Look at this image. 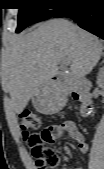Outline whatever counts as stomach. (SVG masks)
Returning a JSON list of instances; mask_svg holds the SVG:
<instances>
[{
	"label": "stomach",
	"instance_id": "1",
	"mask_svg": "<svg viewBox=\"0 0 104 169\" xmlns=\"http://www.w3.org/2000/svg\"><path fill=\"white\" fill-rule=\"evenodd\" d=\"M34 107L42 113H51L58 109L59 101L52 83L42 86L32 98Z\"/></svg>",
	"mask_w": 104,
	"mask_h": 169
}]
</instances>
